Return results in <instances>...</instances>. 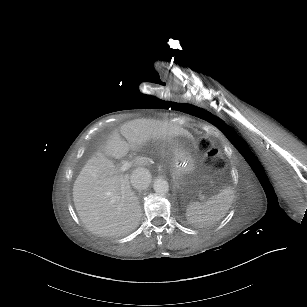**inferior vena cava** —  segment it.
<instances>
[{
    "instance_id": "obj_1",
    "label": "inferior vena cava",
    "mask_w": 307,
    "mask_h": 307,
    "mask_svg": "<svg viewBox=\"0 0 307 307\" xmlns=\"http://www.w3.org/2000/svg\"><path fill=\"white\" fill-rule=\"evenodd\" d=\"M151 179V174L147 169L137 168L133 171L130 177V182L134 189L145 190L149 187Z\"/></svg>"
}]
</instances>
